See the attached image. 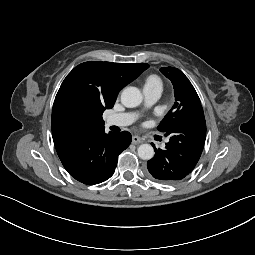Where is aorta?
<instances>
[{
	"instance_id": "aorta-1",
	"label": "aorta",
	"mask_w": 255,
	"mask_h": 255,
	"mask_svg": "<svg viewBox=\"0 0 255 255\" xmlns=\"http://www.w3.org/2000/svg\"><path fill=\"white\" fill-rule=\"evenodd\" d=\"M143 96L136 87H127L121 93V103L127 108H134L141 104ZM154 149L150 144L138 147V156L143 160H150L154 156Z\"/></svg>"
}]
</instances>
